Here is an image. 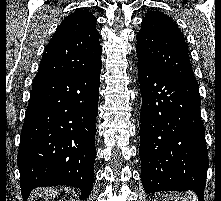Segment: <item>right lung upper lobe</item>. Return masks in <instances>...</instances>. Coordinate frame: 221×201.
I'll return each instance as SVG.
<instances>
[{
	"instance_id": "cb5924a9",
	"label": "right lung upper lobe",
	"mask_w": 221,
	"mask_h": 201,
	"mask_svg": "<svg viewBox=\"0 0 221 201\" xmlns=\"http://www.w3.org/2000/svg\"><path fill=\"white\" fill-rule=\"evenodd\" d=\"M101 53L96 18L87 9H79L67 16L55 31L37 74L91 72L101 67Z\"/></svg>"
}]
</instances>
